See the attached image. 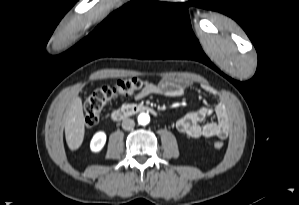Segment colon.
Instances as JSON below:
<instances>
[{
  "label": "colon",
  "instance_id": "colon-1",
  "mask_svg": "<svg viewBox=\"0 0 299 205\" xmlns=\"http://www.w3.org/2000/svg\"><path fill=\"white\" fill-rule=\"evenodd\" d=\"M145 81L140 78H123L116 82L114 86H103L94 90L86 99L84 105V121L88 128L95 126L99 122L101 110L112 100L119 97H127L142 90ZM214 147L221 149L224 144L215 141Z\"/></svg>",
  "mask_w": 299,
  "mask_h": 205
}]
</instances>
